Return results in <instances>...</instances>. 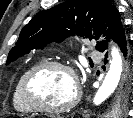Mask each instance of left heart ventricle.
I'll use <instances>...</instances> for the list:
<instances>
[{"mask_svg": "<svg viewBox=\"0 0 133 118\" xmlns=\"http://www.w3.org/2000/svg\"><path fill=\"white\" fill-rule=\"evenodd\" d=\"M34 94L38 101L44 105L51 107L65 105L75 95L73 79L64 70H48L36 79Z\"/></svg>", "mask_w": 133, "mask_h": 118, "instance_id": "left-heart-ventricle-1", "label": "left heart ventricle"}]
</instances>
